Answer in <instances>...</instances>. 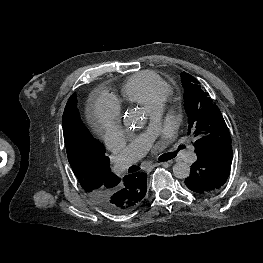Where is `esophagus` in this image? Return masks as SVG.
Instances as JSON below:
<instances>
[{
    "instance_id": "34e87169",
    "label": "esophagus",
    "mask_w": 263,
    "mask_h": 263,
    "mask_svg": "<svg viewBox=\"0 0 263 263\" xmlns=\"http://www.w3.org/2000/svg\"><path fill=\"white\" fill-rule=\"evenodd\" d=\"M169 162H157V163H154V164H151L147 167V171L153 169L154 167H157L159 165H163V164H168Z\"/></svg>"
}]
</instances>
